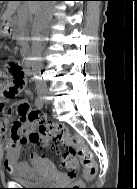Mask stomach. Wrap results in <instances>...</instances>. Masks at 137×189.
Returning a JSON list of instances; mask_svg holds the SVG:
<instances>
[{"mask_svg": "<svg viewBox=\"0 0 137 189\" xmlns=\"http://www.w3.org/2000/svg\"><path fill=\"white\" fill-rule=\"evenodd\" d=\"M0 33H1L2 35H6V34H7V31L1 30Z\"/></svg>", "mask_w": 137, "mask_h": 189, "instance_id": "1", "label": "stomach"}]
</instances>
